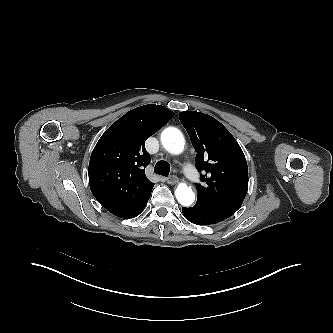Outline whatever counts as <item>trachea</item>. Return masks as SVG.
<instances>
[{
    "label": "trachea",
    "mask_w": 333,
    "mask_h": 333,
    "mask_svg": "<svg viewBox=\"0 0 333 333\" xmlns=\"http://www.w3.org/2000/svg\"><path fill=\"white\" fill-rule=\"evenodd\" d=\"M154 172L158 175L167 177L170 172V164L165 160L158 161L154 167Z\"/></svg>",
    "instance_id": "trachea-1"
}]
</instances>
